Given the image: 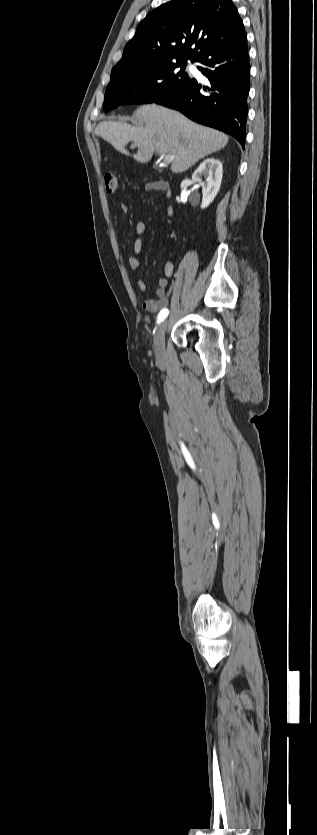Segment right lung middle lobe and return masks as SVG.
Wrapping results in <instances>:
<instances>
[{"label":"right lung middle lobe","instance_id":"dd1d6c3e","mask_svg":"<svg viewBox=\"0 0 317 835\" xmlns=\"http://www.w3.org/2000/svg\"><path fill=\"white\" fill-rule=\"evenodd\" d=\"M186 64H163L141 71H112L104 97V111L122 104L152 103L189 83L191 78L184 72Z\"/></svg>","mask_w":317,"mask_h":835}]
</instances>
